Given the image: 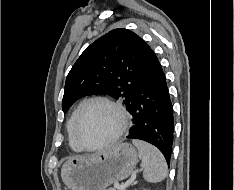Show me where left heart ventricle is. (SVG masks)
I'll list each match as a JSON object with an SVG mask.
<instances>
[{
    "instance_id": "1",
    "label": "left heart ventricle",
    "mask_w": 234,
    "mask_h": 190,
    "mask_svg": "<svg viewBox=\"0 0 234 190\" xmlns=\"http://www.w3.org/2000/svg\"><path fill=\"white\" fill-rule=\"evenodd\" d=\"M119 119L113 109L104 104H93L83 114L77 135L87 146L108 140L117 131Z\"/></svg>"
}]
</instances>
